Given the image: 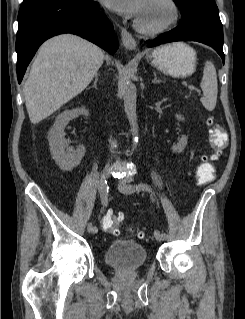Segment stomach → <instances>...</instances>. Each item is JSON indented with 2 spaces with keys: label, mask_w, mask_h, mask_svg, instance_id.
<instances>
[{
  "label": "stomach",
  "mask_w": 245,
  "mask_h": 319,
  "mask_svg": "<svg viewBox=\"0 0 245 319\" xmlns=\"http://www.w3.org/2000/svg\"><path fill=\"white\" fill-rule=\"evenodd\" d=\"M146 59L158 70L172 77H187L196 70V52L183 42H176L154 49Z\"/></svg>",
  "instance_id": "stomach-1"
}]
</instances>
